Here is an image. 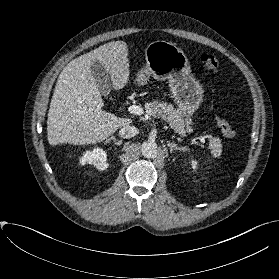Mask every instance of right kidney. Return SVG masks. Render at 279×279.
Returning a JSON list of instances; mask_svg holds the SVG:
<instances>
[{
    "instance_id": "ca27d5eb",
    "label": "right kidney",
    "mask_w": 279,
    "mask_h": 279,
    "mask_svg": "<svg viewBox=\"0 0 279 279\" xmlns=\"http://www.w3.org/2000/svg\"><path fill=\"white\" fill-rule=\"evenodd\" d=\"M79 162L81 165L91 164L101 171L108 167L107 154L102 148L98 147L85 151L80 157Z\"/></svg>"
}]
</instances>
